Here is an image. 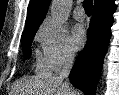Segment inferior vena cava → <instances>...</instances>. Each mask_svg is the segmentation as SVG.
<instances>
[{
	"mask_svg": "<svg viewBox=\"0 0 119 95\" xmlns=\"http://www.w3.org/2000/svg\"><path fill=\"white\" fill-rule=\"evenodd\" d=\"M74 62V54L72 52H67L63 58V68L59 75L61 80L67 79L69 77L70 71L72 69ZM68 83V82H67Z\"/></svg>",
	"mask_w": 119,
	"mask_h": 95,
	"instance_id": "1",
	"label": "inferior vena cava"
}]
</instances>
